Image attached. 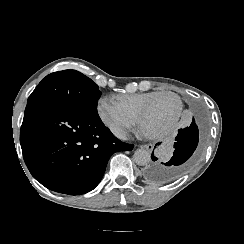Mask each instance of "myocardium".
Returning a JSON list of instances; mask_svg holds the SVG:
<instances>
[{
    "label": "myocardium",
    "mask_w": 244,
    "mask_h": 244,
    "mask_svg": "<svg viewBox=\"0 0 244 244\" xmlns=\"http://www.w3.org/2000/svg\"><path fill=\"white\" fill-rule=\"evenodd\" d=\"M163 95H171L173 97H175L178 100V107L177 109L170 115V117L166 120L163 121L160 117H159V123L157 126H165V125H169L172 124L173 121L175 120V118L177 117V115L180 113L182 106H183V102H182V98L175 92H171V91H166L163 92L161 94H156L153 96V99H151L150 101H148L146 103L145 106L142 107L141 113L139 115L140 121H141V127L143 130H154V127H150L147 125L146 123V117L145 113L146 110L149 109L153 104L156 103V100L161 99Z\"/></svg>",
    "instance_id": "1"
}]
</instances>
